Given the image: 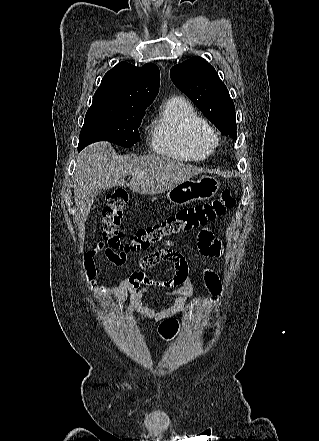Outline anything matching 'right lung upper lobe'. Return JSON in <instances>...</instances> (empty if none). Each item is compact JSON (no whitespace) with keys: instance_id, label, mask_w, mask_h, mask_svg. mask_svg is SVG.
Instances as JSON below:
<instances>
[{"instance_id":"cb5924a9","label":"right lung upper lobe","mask_w":319,"mask_h":441,"mask_svg":"<svg viewBox=\"0 0 319 441\" xmlns=\"http://www.w3.org/2000/svg\"><path fill=\"white\" fill-rule=\"evenodd\" d=\"M159 84L160 72L156 65L148 63L136 67L120 62L103 77L93 96L92 106L147 107L157 96Z\"/></svg>"}]
</instances>
